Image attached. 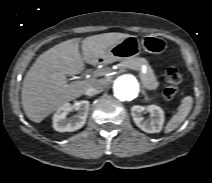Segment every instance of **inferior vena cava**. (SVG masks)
<instances>
[{"label": "inferior vena cava", "mask_w": 212, "mask_h": 183, "mask_svg": "<svg viewBox=\"0 0 212 183\" xmlns=\"http://www.w3.org/2000/svg\"><path fill=\"white\" fill-rule=\"evenodd\" d=\"M105 86H106V81L103 79H98L92 83L88 91L92 94H98L104 90Z\"/></svg>", "instance_id": "602c4592"}]
</instances>
